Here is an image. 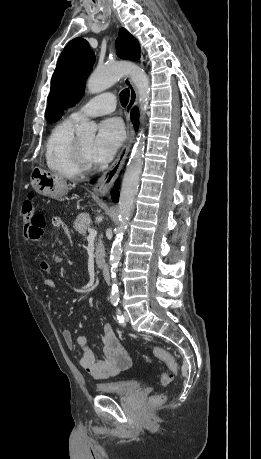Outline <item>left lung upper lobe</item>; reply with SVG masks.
Here are the masks:
<instances>
[{
    "label": "left lung upper lobe",
    "mask_w": 261,
    "mask_h": 459,
    "mask_svg": "<svg viewBox=\"0 0 261 459\" xmlns=\"http://www.w3.org/2000/svg\"><path fill=\"white\" fill-rule=\"evenodd\" d=\"M117 55L122 59L136 61L140 58L138 41L124 28L119 31L116 40ZM94 53L86 40H71L61 53L52 77L51 91L48 98L46 119L55 122L61 118L63 109L78 102L84 91L85 80L94 64Z\"/></svg>",
    "instance_id": "1"
}]
</instances>
